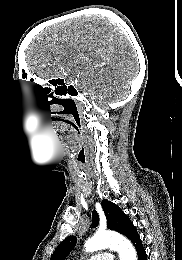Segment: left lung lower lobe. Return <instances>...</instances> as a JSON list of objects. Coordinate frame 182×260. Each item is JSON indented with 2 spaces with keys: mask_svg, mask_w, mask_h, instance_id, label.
Masks as SVG:
<instances>
[{
  "mask_svg": "<svg viewBox=\"0 0 182 260\" xmlns=\"http://www.w3.org/2000/svg\"><path fill=\"white\" fill-rule=\"evenodd\" d=\"M126 237L133 243L137 251L138 260H147V254L143 247L140 236L136 230V227H133Z\"/></svg>",
  "mask_w": 182,
  "mask_h": 260,
  "instance_id": "0a47b994",
  "label": "left lung lower lobe"
}]
</instances>
